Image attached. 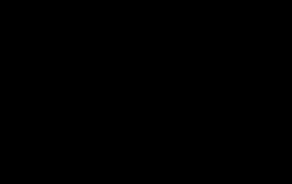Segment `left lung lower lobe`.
Masks as SVG:
<instances>
[{
  "label": "left lung lower lobe",
  "mask_w": 292,
  "mask_h": 184,
  "mask_svg": "<svg viewBox=\"0 0 292 184\" xmlns=\"http://www.w3.org/2000/svg\"><path fill=\"white\" fill-rule=\"evenodd\" d=\"M164 105H165L164 96L162 94H159L157 99L158 110L160 111L161 109H164ZM168 135L171 138V140H174L180 146H185L193 143L204 145L209 143L212 138L210 136H192L177 131L170 132V134Z\"/></svg>",
  "instance_id": "left-lung-lower-lobe-1"
}]
</instances>
